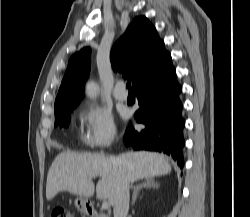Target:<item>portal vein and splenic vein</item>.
I'll list each match as a JSON object with an SVG mask.
<instances>
[{"label":"portal vein and splenic vein","instance_id":"portal-vein-and-splenic-vein-1","mask_svg":"<svg viewBox=\"0 0 250 217\" xmlns=\"http://www.w3.org/2000/svg\"><path fill=\"white\" fill-rule=\"evenodd\" d=\"M110 207V204L108 201H103L102 203V209H108Z\"/></svg>","mask_w":250,"mask_h":217}]
</instances>
